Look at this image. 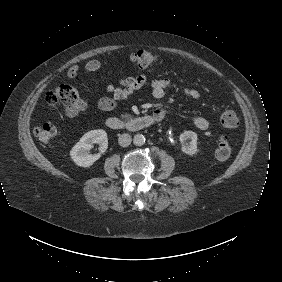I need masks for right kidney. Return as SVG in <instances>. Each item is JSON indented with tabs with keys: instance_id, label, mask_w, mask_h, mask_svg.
<instances>
[{
	"instance_id": "1",
	"label": "right kidney",
	"mask_w": 282,
	"mask_h": 282,
	"mask_svg": "<svg viewBox=\"0 0 282 282\" xmlns=\"http://www.w3.org/2000/svg\"><path fill=\"white\" fill-rule=\"evenodd\" d=\"M99 144L98 154H89L93 144ZM108 148L107 133L103 129L91 130L84 134L79 142L70 151V156L74 163L81 167H89L104 153Z\"/></svg>"
}]
</instances>
